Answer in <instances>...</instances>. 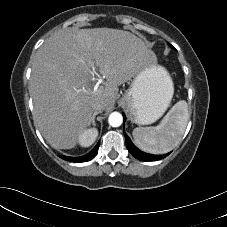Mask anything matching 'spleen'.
<instances>
[{"instance_id":"1","label":"spleen","mask_w":227,"mask_h":227,"mask_svg":"<svg viewBox=\"0 0 227 227\" xmlns=\"http://www.w3.org/2000/svg\"><path fill=\"white\" fill-rule=\"evenodd\" d=\"M188 119L186 101H178L159 125L135 128L132 132L134 142L138 148L147 153H167L181 141Z\"/></svg>"}]
</instances>
